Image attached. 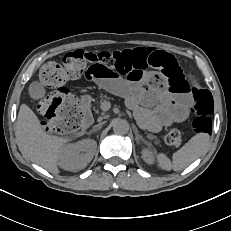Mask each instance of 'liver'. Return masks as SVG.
Returning a JSON list of instances; mask_svg holds the SVG:
<instances>
[{"label": "liver", "mask_w": 231, "mask_h": 231, "mask_svg": "<svg viewBox=\"0 0 231 231\" xmlns=\"http://www.w3.org/2000/svg\"><path fill=\"white\" fill-rule=\"evenodd\" d=\"M84 132L82 130L75 136H81ZM16 133L20 149L31 161L52 173H59L57 165L60 152L72 137L48 134L37 115L26 104L20 106Z\"/></svg>", "instance_id": "6515ba94"}]
</instances>
